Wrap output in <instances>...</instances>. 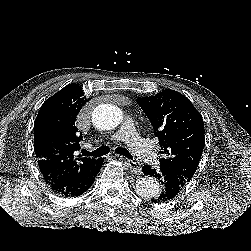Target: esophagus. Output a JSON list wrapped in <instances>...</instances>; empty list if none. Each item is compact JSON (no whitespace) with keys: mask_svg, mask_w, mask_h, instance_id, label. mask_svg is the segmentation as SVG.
<instances>
[{"mask_svg":"<svg viewBox=\"0 0 251 251\" xmlns=\"http://www.w3.org/2000/svg\"><path fill=\"white\" fill-rule=\"evenodd\" d=\"M115 156L120 160H127L126 158H124L121 155L116 154ZM127 164H128V167L130 168L132 173L139 174L141 172V168H140L139 163L132 161V160H127Z\"/></svg>","mask_w":251,"mask_h":251,"instance_id":"1","label":"esophagus"}]
</instances>
